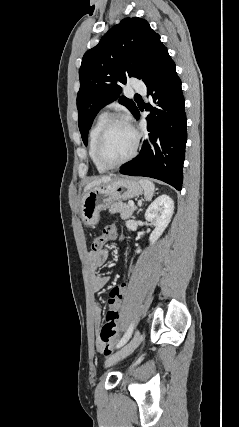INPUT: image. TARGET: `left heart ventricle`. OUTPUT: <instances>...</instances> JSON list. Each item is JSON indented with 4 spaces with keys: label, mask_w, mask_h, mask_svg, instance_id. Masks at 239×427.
<instances>
[{
    "label": "left heart ventricle",
    "mask_w": 239,
    "mask_h": 427,
    "mask_svg": "<svg viewBox=\"0 0 239 427\" xmlns=\"http://www.w3.org/2000/svg\"><path fill=\"white\" fill-rule=\"evenodd\" d=\"M133 144V131L125 124H117L107 134L101 156L106 162H118L131 152Z\"/></svg>",
    "instance_id": "left-heart-ventricle-1"
}]
</instances>
